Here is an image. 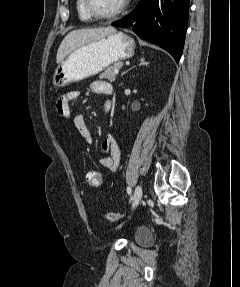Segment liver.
<instances>
[{"mask_svg":"<svg viewBox=\"0 0 240 287\" xmlns=\"http://www.w3.org/2000/svg\"><path fill=\"white\" fill-rule=\"evenodd\" d=\"M116 29L112 26L84 28L69 32L62 40L56 56L57 64H60L64 58L73 50L91 41L101 39L102 37L115 32Z\"/></svg>","mask_w":240,"mask_h":287,"instance_id":"obj_1","label":"liver"}]
</instances>
